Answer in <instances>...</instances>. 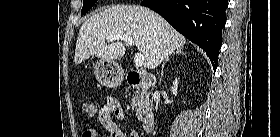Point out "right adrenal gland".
<instances>
[{
	"mask_svg": "<svg viewBox=\"0 0 280 137\" xmlns=\"http://www.w3.org/2000/svg\"><path fill=\"white\" fill-rule=\"evenodd\" d=\"M172 54H183V55H184L185 53L183 52V49H182V48H179V49H177L176 51H173L171 54H169V56H171ZM169 56H167V57H166V59H165L164 63L162 64V71H161V78H160V82H161L162 77H163V70H164V65H165V62H167V61H168Z\"/></svg>",
	"mask_w": 280,
	"mask_h": 137,
	"instance_id": "right-adrenal-gland-1",
	"label": "right adrenal gland"
}]
</instances>
